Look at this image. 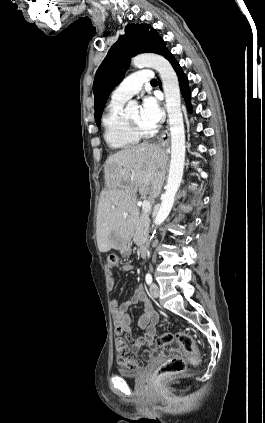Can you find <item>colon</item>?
<instances>
[{"label":"colon","mask_w":265,"mask_h":423,"mask_svg":"<svg viewBox=\"0 0 265 423\" xmlns=\"http://www.w3.org/2000/svg\"><path fill=\"white\" fill-rule=\"evenodd\" d=\"M108 263L112 267H117L119 265L118 255L110 253L108 256ZM173 342L176 343V348L181 349L187 354L189 359L179 356L168 359L157 368L155 372L156 380H162L166 377L183 373L187 368L188 360L191 362H197L199 358L198 352L195 349L193 338L185 331H178L176 333L163 332L157 339V344L159 346H167ZM118 353L125 366L131 368L138 367L139 363L135 359L127 357V349L124 343H121L118 347Z\"/></svg>","instance_id":"colon-1"}]
</instances>
